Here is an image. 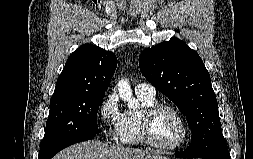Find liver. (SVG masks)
I'll list each match as a JSON object with an SVG mask.
<instances>
[{"label":"liver","mask_w":253,"mask_h":159,"mask_svg":"<svg viewBox=\"0 0 253 159\" xmlns=\"http://www.w3.org/2000/svg\"><path fill=\"white\" fill-rule=\"evenodd\" d=\"M52 159H168L149 150L108 146L96 140L65 148Z\"/></svg>","instance_id":"1"}]
</instances>
